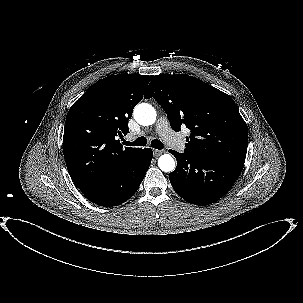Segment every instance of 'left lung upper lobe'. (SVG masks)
Segmentation results:
<instances>
[{
    "instance_id": "left-lung-upper-lobe-1",
    "label": "left lung upper lobe",
    "mask_w": 303,
    "mask_h": 303,
    "mask_svg": "<svg viewBox=\"0 0 303 303\" xmlns=\"http://www.w3.org/2000/svg\"><path fill=\"white\" fill-rule=\"evenodd\" d=\"M144 97H153L163 107L174 131L181 126L191 130L186 153L245 160L247 125L226 93L189 75L160 74Z\"/></svg>"
}]
</instances>
